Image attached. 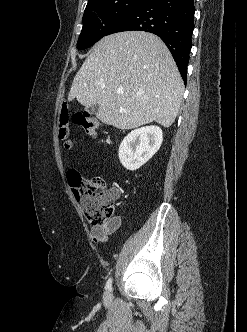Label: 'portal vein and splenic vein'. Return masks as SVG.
<instances>
[{
	"label": "portal vein and splenic vein",
	"mask_w": 247,
	"mask_h": 332,
	"mask_svg": "<svg viewBox=\"0 0 247 332\" xmlns=\"http://www.w3.org/2000/svg\"><path fill=\"white\" fill-rule=\"evenodd\" d=\"M117 93H118V94H122V93H123V90H122V89H118V90H117Z\"/></svg>",
	"instance_id": "18ae733b"
}]
</instances>
